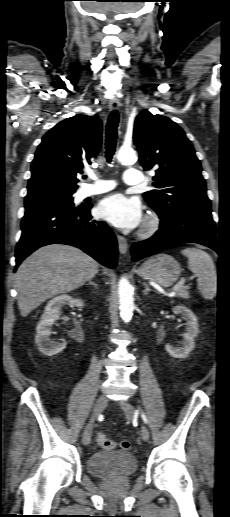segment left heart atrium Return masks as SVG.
Instances as JSON below:
<instances>
[{
  "mask_svg": "<svg viewBox=\"0 0 230 517\" xmlns=\"http://www.w3.org/2000/svg\"><path fill=\"white\" fill-rule=\"evenodd\" d=\"M97 212L101 218L121 229H133L142 220L140 202L123 194H114L103 199Z\"/></svg>",
  "mask_w": 230,
  "mask_h": 517,
  "instance_id": "39dd6f15",
  "label": "left heart atrium"
}]
</instances>
